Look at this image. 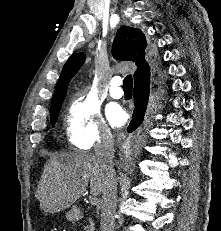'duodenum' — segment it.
Instances as JSON below:
<instances>
[{
    "label": "duodenum",
    "mask_w": 221,
    "mask_h": 231,
    "mask_svg": "<svg viewBox=\"0 0 221 231\" xmlns=\"http://www.w3.org/2000/svg\"><path fill=\"white\" fill-rule=\"evenodd\" d=\"M82 217H83L82 213L80 211H76L75 219L79 221L82 219Z\"/></svg>",
    "instance_id": "obj_1"
}]
</instances>
